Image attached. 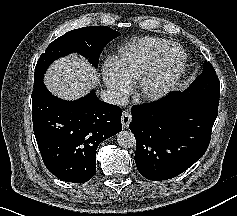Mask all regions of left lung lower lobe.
Segmentation results:
<instances>
[{
  "label": "left lung lower lobe",
  "mask_w": 237,
  "mask_h": 216,
  "mask_svg": "<svg viewBox=\"0 0 237 216\" xmlns=\"http://www.w3.org/2000/svg\"><path fill=\"white\" fill-rule=\"evenodd\" d=\"M218 102L173 91L162 100L132 107L138 171L152 181L174 178L206 152Z\"/></svg>",
  "instance_id": "obj_1"
}]
</instances>
